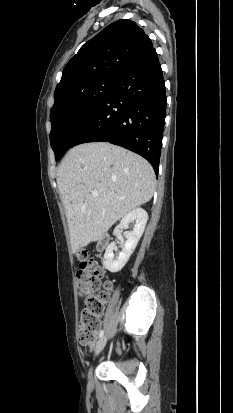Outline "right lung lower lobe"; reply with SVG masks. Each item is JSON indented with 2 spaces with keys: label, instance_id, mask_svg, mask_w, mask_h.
I'll list each match as a JSON object with an SVG mask.
<instances>
[{
  "label": "right lung lower lobe",
  "instance_id": "98d812e1",
  "mask_svg": "<svg viewBox=\"0 0 233 413\" xmlns=\"http://www.w3.org/2000/svg\"><path fill=\"white\" fill-rule=\"evenodd\" d=\"M165 116V83L152 47L117 75L71 148L86 142H110L144 157L157 175Z\"/></svg>",
  "mask_w": 233,
  "mask_h": 413
}]
</instances>
